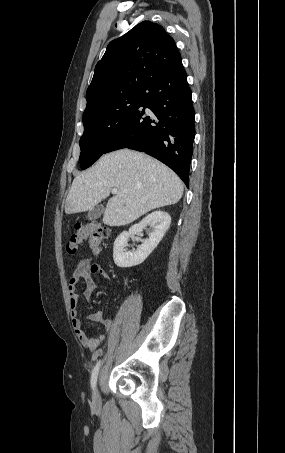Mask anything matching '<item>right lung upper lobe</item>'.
I'll list each match as a JSON object with an SVG mask.
<instances>
[{"mask_svg":"<svg viewBox=\"0 0 285 453\" xmlns=\"http://www.w3.org/2000/svg\"><path fill=\"white\" fill-rule=\"evenodd\" d=\"M181 62L175 41L161 25L137 24L108 44L87 89L84 112L111 98L142 92L151 80Z\"/></svg>","mask_w":285,"mask_h":453,"instance_id":"cb5924a9","label":"right lung upper lobe"}]
</instances>
